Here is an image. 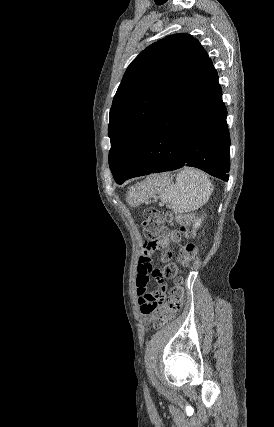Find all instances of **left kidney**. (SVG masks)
Segmentation results:
<instances>
[{
    "instance_id": "obj_1",
    "label": "left kidney",
    "mask_w": 274,
    "mask_h": 427,
    "mask_svg": "<svg viewBox=\"0 0 274 427\" xmlns=\"http://www.w3.org/2000/svg\"><path fill=\"white\" fill-rule=\"evenodd\" d=\"M201 221H202L201 217H196V219H194V223H193V227H194V229H193V235H196L195 229H196V227H200Z\"/></svg>"
}]
</instances>
